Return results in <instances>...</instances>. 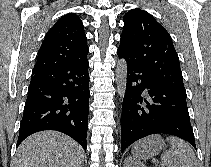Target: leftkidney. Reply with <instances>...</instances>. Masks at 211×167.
I'll return each instance as SVG.
<instances>
[{
  "mask_svg": "<svg viewBox=\"0 0 211 167\" xmlns=\"http://www.w3.org/2000/svg\"><path fill=\"white\" fill-rule=\"evenodd\" d=\"M124 167H145L140 161L127 157L124 162Z\"/></svg>",
  "mask_w": 211,
  "mask_h": 167,
  "instance_id": "5707ae66",
  "label": "left kidney"
}]
</instances>
